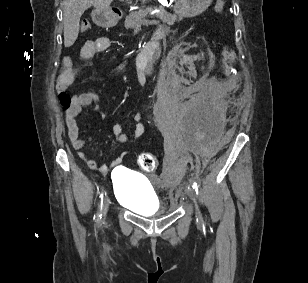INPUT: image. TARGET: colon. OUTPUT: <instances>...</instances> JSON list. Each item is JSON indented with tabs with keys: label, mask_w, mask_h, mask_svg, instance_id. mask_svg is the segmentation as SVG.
<instances>
[{
	"label": "colon",
	"mask_w": 308,
	"mask_h": 283,
	"mask_svg": "<svg viewBox=\"0 0 308 283\" xmlns=\"http://www.w3.org/2000/svg\"><path fill=\"white\" fill-rule=\"evenodd\" d=\"M225 8V2L224 0H217L215 3V11L220 13L224 10ZM91 28L90 23L87 20L82 21L81 23V30L83 32L88 31ZM235 60V52L234 50L230 47L227 46L224 49V54L222 58V69L223 72L228 75L233 67V63ZM59 99L62 105L68 109L71 106L72 103V97L65 91H61L59 93ZM139 166L142 170L146 172H151L156 169L158 165V161L154 155L151 153H142L139 156L138 159Z\"/></svg>",
	"instance_id": "5ec220e1"
}]
</instances>
